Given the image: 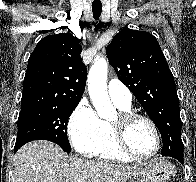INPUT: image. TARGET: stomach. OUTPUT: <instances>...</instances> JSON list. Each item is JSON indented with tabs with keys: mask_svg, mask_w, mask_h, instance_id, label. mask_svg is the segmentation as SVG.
I'll return each mask as SVG.
<instances>
[{
	"mask_svg": "<svg viewBox=\"0 0 196 182\" xmlns=\"http://www.w3.org/2000/svg\"><path fill=\"white\" fill-rule=\"evenodd\" d=\"M172 173L173 166L168 161L157 159L136 170L125 182H166Z\"/></svg>",
	"mask_w": 196,
	"mask_h": 182,
	"instance_id": "stomach-1",
	"label": "stomach"
}]
</instances>
